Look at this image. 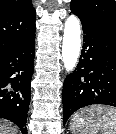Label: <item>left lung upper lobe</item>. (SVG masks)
I'll return each mask as SVG.
<instances>
[{
  "instance_id": "1",
  "label": "left lung upper lobe",
  "mask_w": 116,
  "mask_h": 134,
  "mask_svg": "<svg viewBox=\"0 0 116 134\" xmlns=\"http://www.w3.org/2000/svg\"><path fill=\"white\" fill-rule=\"evenodd\" d=\"M71 12L81 19L116 24V2L114 0H72Z\"/></svg>"
}]
</instances>
